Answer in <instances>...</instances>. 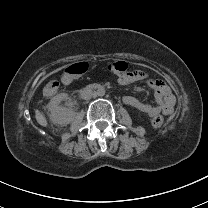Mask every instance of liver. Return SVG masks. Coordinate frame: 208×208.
I'll return each mask as SVG.
<instances>
[{"instance_id": "6515ba94", "label": "liver", "mask_w": 208, "mask_h": 208, "mask_svg": "<svg viewBox=\"0 0 208 208\" xmlns=\"http://www.w3.org/2000/svg\"><path fill=\"white\" fill-rule=\"evenodd\" d=\"M35 117H36L37 122L41 126H44V127L47 126V120H46V118L44 117V115L39 110H36L35 111Z\"/></svg>"}]
</instances>
